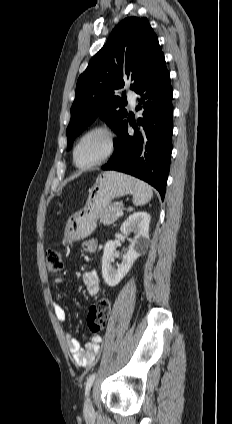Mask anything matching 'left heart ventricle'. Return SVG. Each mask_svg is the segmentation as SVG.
Segmentation results:
<instances>
[{
	"label": "left heart ventricle",
	"mask_w": 232,
	"mask_h": 424,
	"mask_svg": "<svg viewBox=\"0 0 232 424\" xmlns=\"http://www.w3.org/2000/svg\"><path fill=\"white\" fill-rule=\"evenodd\" d=\"M107 140L101 133H93L85 137L77 150V160L87 164L98 159L106 150Z\"/></svg>",
	"instance_id": "1"
}]
</instances>
